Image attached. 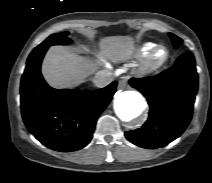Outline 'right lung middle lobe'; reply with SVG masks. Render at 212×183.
I'll return each instance as SVG.
<instances>
[{
  "instance_id": "obj_1",
  "label": "right lung middle lobe",
  "mask_w": 212,
  "mask_h": 183,
  "mask_svg": "<svg viewBox=\"0 0 212 183\" xmlns=\"http://www.w3.org/2000/svg\"><path fill=\"white\" fill-rule=\"evenodd\" d=\"M68 32H62L58 34H52L50 37H48L43 43H41L39 46H51V45H66L71 43V39H69Z\"/></svg>"
}]
</instances>
